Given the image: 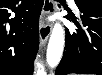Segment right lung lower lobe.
<instances>
[{"instance_id":"obj_1","label":"right lung lower lobe","mask_w":102,"mask_h":75,"mask_svg":"<svg viewBox=\"0 0 102 75\" xmlns=\"http://www.w3.org/2000/svg\"><path fill=\"white\" fill-rule=\"evenodd\" d=\"M44 0H0V75H32ZM12 10L15 17L9 19Z\"/></svg>"}]
</instances>
